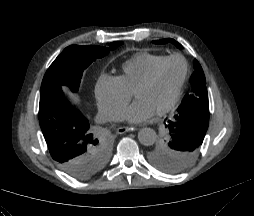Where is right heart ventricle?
Returning a JSON list of instances; mask_svg holds the SVG:
<instances>
[{
	"mask_svg": "<svg viewBox=\"0 0 254 216\" xmlns=\"http://www.w3.org/2000/svg\"><path fill=\"white\" fill-rule=\"evenodd\" d=\"M164 57L163 54L139 52L122 64V73L117 77L129 92H133Z\"/></svg>",
	"mask_w": 254,
	"mask_h": 216,
	"instance_id": "e07e8e85",
	"label": "right heart ventricle"
}]
</instances>
